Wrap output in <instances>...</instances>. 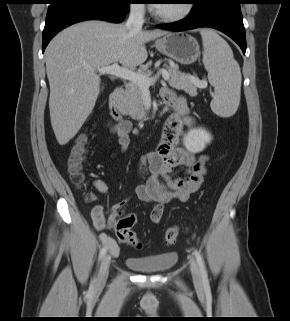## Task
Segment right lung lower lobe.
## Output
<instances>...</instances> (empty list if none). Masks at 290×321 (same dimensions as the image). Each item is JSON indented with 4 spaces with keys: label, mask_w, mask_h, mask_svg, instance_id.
I'll list each match as a JSON object with an SVG mask.
<instances>
[{
    "label": "right lung lower lobe",
    "mask_w": 290,
    "mask_h": 321,
    "mask_svg": "<svg viewBox=\"0 0 290 321\" xmlns=\"http://www.w3.org/2000/svg\"><path fill=\"white\" fill-rule=\"evenodd\" d=\"M132 2H92L83 0H55L50 3L42 34V51L50 40L64 28L86 20L121 22Z\"/></svg>",
    "instance_id": "right-lung-lower-lobe-1"
}]
</instances>
